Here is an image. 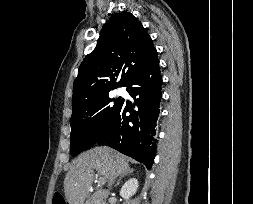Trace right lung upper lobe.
Segmentation results:
<instances>
[{
  "mask_svg": "<svg viewBox=\"0 0 253 204\" xmlns=\"http://www.w3.org/2000/svg\"><path fill=\"white\" fill-rule=\"evenodd\" d=\"M154 49L150 36L136 17L128 12L112 15L103 27L95 49L79 67L73 83L72 108L124 86Z\"/></svg>",
  "mask_w": 253,
  "mask_h": 204,
  "instance_id": "right-lung-upper-lobe-1",
  "label": "right lung upper lobe"
}]
</instances>
